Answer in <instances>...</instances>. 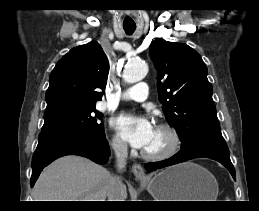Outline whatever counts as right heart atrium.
I'll return each instance as SVG.
<instances>
[{"instance_id": "d8ad5b80", "label": "right heart atrium", "mask_w": 259, "mask_h": 211, "mask_svg": "<svg viewBox=\"0 0 259 211\" xmlns=\"http://www.w3.org/2000/svg\"><path fill=\"white\" fill-rule=\"evenodd\" d=\"M110 144L117 155L122 156L126 153V145L119 135H113Z\"/></svg>"}]
</instances>
